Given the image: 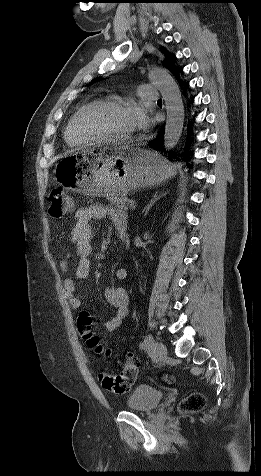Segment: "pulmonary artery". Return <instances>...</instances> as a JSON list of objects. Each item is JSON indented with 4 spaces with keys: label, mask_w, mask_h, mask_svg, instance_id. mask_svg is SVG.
Instances as JSON below:
<instances>
[{
    "label": "pulmonary artery",
    "mask_w": 261,
    "mask_h": 476,
    "mask_svg": "<svg viewBox=\"0 0 261 476\" xmlns=\"http://www.w3.org/2000/svg\"><path fill=\"white\" fill-rule=\"evenodd\" d=\"M139 96L147 101H157L159 98L156 87L151 84H142L139 87Z\"/></svg>",
    "instance_id": "obj_1"
}]
</instances>
